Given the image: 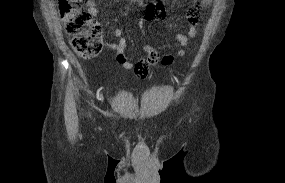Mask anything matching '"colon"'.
<instances>
[{
  "label": "colon",
  "mask_w": 285,
  "mask_h": 183,
  "mask_svg": "<svg viewBox=\"0 0 285 183\" xmlns=\"http://www.w3.org/2000/svg\"><path fill=\"white\" fill-rule=\"evenodd\" d=\"M82 0H59L58 9L66 31L72 36L71 45L82 58L96 56L102 48L103 30L92 19L89 11L79 7ZM135 74L139 78L147 75L144 64H138Z\"/></svg>",
  "instance_id": "obj_1"
}]
</instances>
